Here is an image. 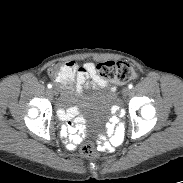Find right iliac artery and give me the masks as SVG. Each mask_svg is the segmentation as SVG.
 Segmentation results:
<instances>
[{
	"label": "right iliac artery",
	"instance_id": "obj_1",
	"mask_svg": "<svg viewBox=\"0 0 183 183\" xmlns=\"http://www.w3.org/2000/svg\"><path fill=\"white\" fill-rule=\"evenodd\" d=\"M47 87L50 89V88H52V85L51 84H48Z\"/></svg>",
	"mask_w": 183,
	"mask_h": 183
}]
</instances>
